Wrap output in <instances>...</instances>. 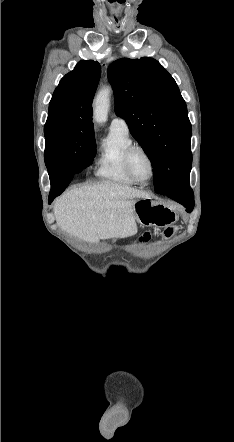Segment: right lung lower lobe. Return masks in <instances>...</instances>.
<instances>
[{
  "instance_id": "1",
  "label": "right lung lower lobe",
  "mask_w": 234,
  "mask_h": 442,
  "mask_svg": "<svg viewBox=\"0 0 234 442\" xmlns=\"http://www.w3.org/2000/svg\"><path fill=\"white\" fill-rule=\"evenodd\" d=\"M48 169L51 191L49 194V204L56 196H59L71 182L76 170L70 161L66 160L50 166Z\"/></svg>"
}]
</instances>
